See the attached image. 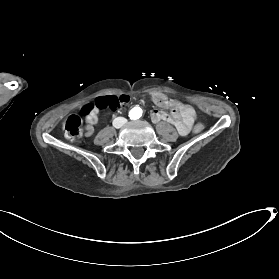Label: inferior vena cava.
<instances>
[{
    "label": "inferior vena cava",
    "instance_id": "602c4592",
    "mask_svg": "<svg viewBox=\"0 0 279 279\" xmlns=\"http://www.w3.org/2000/svg\"><path fill=\"white\" fill-rule=\"evenodd\" d=\"M125 123H127V119L123 118V117H118L115 118L113 121V126L115 128H120L122 127Z\"/></svg>",
    "mask_w": 279,
    "mask_h": 279
}]
</instances>
